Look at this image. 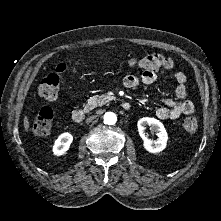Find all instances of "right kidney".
Returning a JSON list of instances; mask_svg holds the SVG:
<instances>
[{"label":"right kidney","instance_id":"right-kidney-1","mask_svg":"<svg viewBox=\"0 0 221 221\" xmlns=\"http://www.w3.org/2000/svg\"><path fill=\"white\" fill-rule=\"evenodd\" d=\"M72 141L73 136L68 132L59 135L52 148L53 154L56 156L64 155L69 150Z\"/></svg>","mask_w":221,"mask_h":221}]
</instances>
